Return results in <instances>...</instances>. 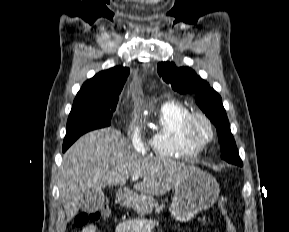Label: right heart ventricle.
<instances>
[{"label":"right heart ventricle","mask_w":289,"mask_h":232,"mask_svg":"<svg viewBox=\"0 0 289 232\" xmlns=\"http://www.w3.org/2000/svg\"><path fill=\"white\" fill-rule=\"evenodd\" d=\"M189 113L190 110L177 101H167L160 106L148 140L154 154L160 157H186L200 151L189 145L182 136V123Z\"/></svg>","instance_id":"1"}]
</instances>
